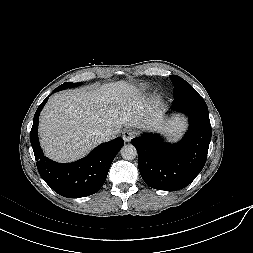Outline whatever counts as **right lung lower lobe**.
<instances>
[{
	"mask_svg": "<svg viewBox=\"0 0 253 253\" xmlns=\"http://www.w3.org/2000/svg\"><path fill=\"white\" fill-rule=\"evenodd\" d=\"M60 91L57 87L54 92ZM48 97L34 115L30 141L42 179L59 195L69 198L85 197L96 193L104 184L109 168L124 144L118 137L96 147L88 156L73 163L61 164L44 156L38 141L39 114Z\"/></svg>",
	"mask_w": 253,
	"mask_h": 253,
	"instance_id": "1",
	"label": "right lung lower lobe"
}]
</instances>
